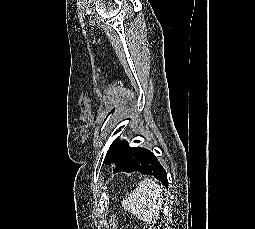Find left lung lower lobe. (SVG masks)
I'll list each match as a JSON object with an SVG mask.
<instances>
[{"label": "left lung lower lobe", "mask_w": 255, "mask_h": 229, "mask_svg": "<svg viewBox=\"0 0 255 229\" xmlns=\"http://www.w3.org/2000/svg\"><path fill=\"white\" fill-rule=\"evenodd\" d=\"M114 162L116 168L114 172H134L139 171L142 174H150L155 176L158 180L168 188L167 174L161 166L155 155L144 148L134 147L127 148L123 153L112 159L110 163Z\"/></svg>", "instance_id": "1"}]
</instances>
